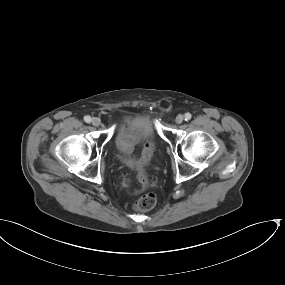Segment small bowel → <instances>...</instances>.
I'll return each instance as SVG.
<instances>
[{
    "instance_id": "obj_1",
    "label": "small bowel",
    "mask_w": 285,
    "mask_h": 285,
    "mask_svg": "<svg viewBox=\"0 0 285 285\" xmlns=\"http://www.w3.org/2000/svg\"><path fill=\"white\" fill-rule=\"evenodd\" d=\"M125 128H126V126H123L121 128V142L125 145V147H128L129 139L124 133ZM135 193L138 194L139 191H136Z\"/></svg>"
}]
</instances>
